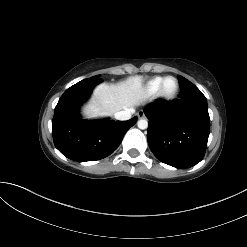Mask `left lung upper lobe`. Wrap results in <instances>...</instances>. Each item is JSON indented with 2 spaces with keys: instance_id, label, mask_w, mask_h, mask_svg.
Segmentation results:
<instances>
[{
  "instance_id": "5c2ea615",
  "label": "left lung upper lobe",
  "mask_w": 247,
  "mask_h": 247,
  "mask_svg": "<svg viewBox=\"0 0 247 247\" xmlns=\"http://www.w3.org/2000/svg\"><path fill=\"white\" fill-rule=\"evenodd\" d=\"M178 79H179V84H180L181 91L184 90L187 87L194 86L193 83H191L189 80H187L186 78H184L182 76H178Z\"/></svg>"
}]
</instances>
